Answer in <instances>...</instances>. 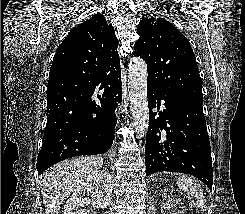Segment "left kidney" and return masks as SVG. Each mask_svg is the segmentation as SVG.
Listing matches in <instances>:
<instances>
[{"mask_svg":"<svg viewBox=\"0 0 245 214\" xmlns=\"http://www.w3.org/2000/svg\"><path fill=\"white\" fill-rule=\"evenodd\" d=\"M173 199L168 197L165 203V211H163V214H166V210L171 209V205H172ZM168 214V213H167Z\"/></svg>","mask_w":245,"mask_h":214,"instance_id":"obj_1","label":"left kidney"}]
</instances>
